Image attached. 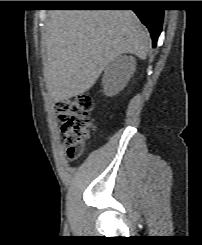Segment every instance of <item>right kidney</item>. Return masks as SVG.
Instances as JSON below:
<instances>
[{
  "label": "right kidney",
  "mask_w": 202,
  "mask_h": 245,
  "mask_svg": "<svg viewBox=\"0 0 202 245\" xmlns=\"http://www.w3.org/2000/svg\"><path fill=\"white\" fill-rule=\"evenodd\" d=\"M136 60L132 56L113 59L105 68L102 78L104 93L113 96L119 93L135 72Z\"/></svg>",
  "instance_id": "ca27d5eb"
}]
</instances>
